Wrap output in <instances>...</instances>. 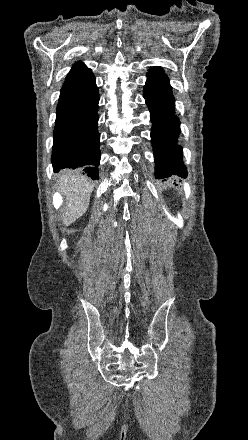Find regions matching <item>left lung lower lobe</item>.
Segmentation results:
<instances>
[{"label":"left lung lower lobe","instance_id":"0a47b994","mask_svg":"<svg viewBox=\"0 0 248 440\" xmlns=\"http://www.w3.org/2000/svg\"><path fill=\"white\" fill-rule=\"evenodd\" d=\"M143 93L151 113L156 178L165 179L173 175L186 178L182 147L177 145L180 121L175 115V99L170 84L148 79Z\"/></svg>","mask_w":248,"mask_h":440}]
</instances>
